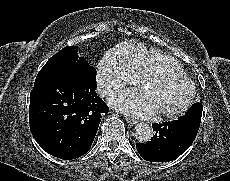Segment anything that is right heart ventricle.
<instances>
[{"mask_svg":"<svg viewBox=\"0 0 230 181\" xmlns=\"http://www.w3.org/2000/svg\"><path fill=\"white\" fill-rule=\"evenodd\" d=\"M107 59L112 64L128 70L136 80L155 71L184 73L181 65L173 58L136 41L117 45L108 52Z\"/></svg>","mask_w":230,"mask_h":181,"instance_id":"1","label":"right heart ventricle"}]
</instances>
